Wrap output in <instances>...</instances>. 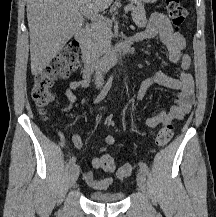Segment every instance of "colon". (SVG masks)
<instances>
[{
	"label": "colon",
	"mask_w": 216,
	"mask_h": 217,
	"mask_svg": "<svg viewBox=\"0 0 216 217\" xmlns=\"http://www.w3.org/2000/svg\"><path fill=\"white\" fill-rule=\"evenodd\" d=\"M169 18L176 29H179L187 16V11L180 0H166ZM80 44L76 40L70 41L62 52L48 66L40 71L34 79L31 96L42 114L53 99L51 88L54 82L60 78L68 77L79 65ZM106 127H113L115 119L112 116L105 120ZM173 124H165L156 135V144L163 147L169 143L173 136ZM102 169L106 172H116L119 179H125L132 174L130 164H124L115 170L112 157L104 160Z\"/></svg>",
	"instance_id": "obj_1"
}]
</instances>
